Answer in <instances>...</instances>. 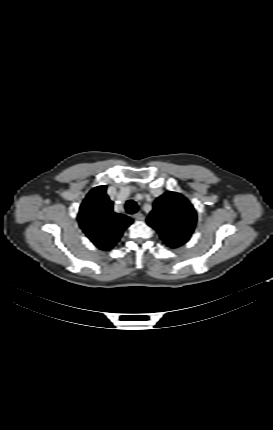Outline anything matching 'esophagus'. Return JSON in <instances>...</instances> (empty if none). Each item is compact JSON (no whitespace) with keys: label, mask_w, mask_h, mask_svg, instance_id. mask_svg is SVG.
<instances>
[{"label":"esophagus","mask_w":273,"mask_h":430,"mask_svg":"<svg viewBox=\"0 0 273 430\" xmlns=\"http://www.w3.org/2000/svg\"><path fill=\"white\" fill-rule=\"evenodd\" d=\"M133 218L136 220H143L144 219V215L141 212H138L136 214L133 215Z\"/></svg>","instance_id":"1"}]
</instances>
